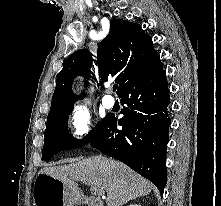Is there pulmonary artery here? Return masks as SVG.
<instances>
[{"label": "pulmonary artery", "instance_id": "pulmonary-artery-1", "mask_svg": "<svg viewBox=\"0 0 221 206\" xmlns=\"http://www.w3.org/2000/svg\"><path fill=\"white\" fill-rule=\"evenodd\" d=\"M102 103L106 108H111L114 105V98L111 95H105L102 99Z\"/></svg>", "mask_w": 221, "mask_h": 206}]
</instances>
